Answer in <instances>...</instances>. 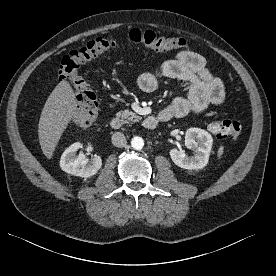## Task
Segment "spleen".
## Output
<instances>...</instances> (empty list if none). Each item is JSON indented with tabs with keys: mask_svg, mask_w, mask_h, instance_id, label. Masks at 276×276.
Returning <instances> with one entry per match:
<instances>
[{
	"mask_svg": "<svg viewBox=\"0 0 276 276\" xmlns=\"http://www.w3.org/2000/svg\"><path fill=\"white\" fill-rule=\"evenodd\" d=\"M223 150H224V147L220 146V148L218 149V158H220L222 156Z\"/></svg>",
	"mask_w": 276,
	"mask_h": 276,
	"instance_id": "obj_1",
	"label": "spleen"
}]
</instances>
